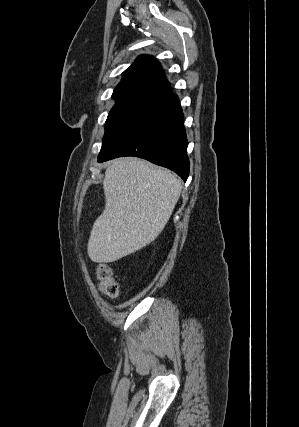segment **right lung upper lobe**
Wrapping results in <instances>:
<instances>
[{"mask_svg":"<svg viewBox=\"0 0 299 427\" xmlns=\"http://www.w3.org/2000/svg\"><path fill=\"white\" fill-rule=\"evenodd\" d=\"M172 94L161 65L149 55H141L123 73L114 89L115 99H139L156 103Z\"/></svg>","mask_w":299,"mask_h":427,"instance_id":"1","label":"right lung upper lobe"}]
</instances>
